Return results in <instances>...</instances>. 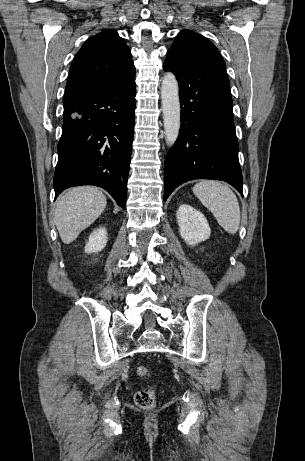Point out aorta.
<instances>
[{"mask_svg":"<svg viewBox=\"0 0 305 461\" xmlns=\"http://www.w3.org/2000/svg\"><path fill=\"white\" fill-rule=\"evenodd\" d=\"M161 100L166 143L172 146L180 130V102L178 82L171 72H167L162 80Z\"/></svg>","mask_w":305,"mask_h":461,"instance_id":"762f6f07","label":"aorta"}]
</instances>
